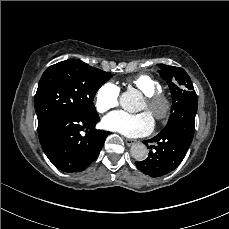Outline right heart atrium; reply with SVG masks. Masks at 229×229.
Returning a JSON list of instances; mask_svg holds the SVG:
<instances>
[{
	"mask_svg": "<svg viewBox=\"0 0 229 229\" xmlns=\"http://www.w3.org/2000/svg\"><path fill=\"white\" fill-rule=\"evenodd\" d=\"M120 98V88L113 82L103 83L94 94V106L100 113L115 108Z\"/></svg>",
	"mask_w": 229,
	"mask_h": 229,
	"instance_id": "1",
	"label": "right heart atrium"
}]
</instances>
